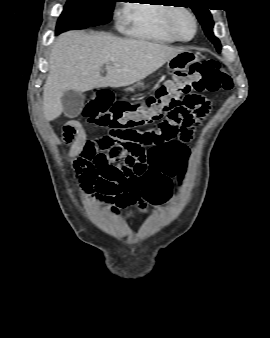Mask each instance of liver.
<instances>
[{
	"mask_svg": "<svg viewBox=\"0 0 270 338\" xmlns=\"http://www.w3.org/2000/svg\"><path fill=\"white\" fill-rule=\"evenodd\" d=\"M183 51L184 48L120 39L107 33L65 32L55 41L50 54V70L43 91L44 117L52 121L61 115L65 91L131 85ZM104 65L106 75L102 77L100 70Z\"/></svg>",
	"mask_w": 270,
	"mask_h": 338,
	"instance_id": "6515ba94",
	"label": "liver"
}]
</instances>
